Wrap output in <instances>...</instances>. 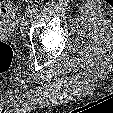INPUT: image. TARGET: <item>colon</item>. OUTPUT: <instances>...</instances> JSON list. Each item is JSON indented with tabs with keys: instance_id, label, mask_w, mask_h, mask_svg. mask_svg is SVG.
Masks as SVG:
<instances>
[{
	"instance_id": "5ec220e1",
	"label": "colon",
	"mask_w": 113,
	"mask_h": 113,
	"mask_svg": "<svg viewBox=\"0 0 113 113\" xmlns=\"http://www.w3.org/2000/svg\"><path fill=\"white\" fill-rule=\"evenodd\" d=\"M14 11L15 7L9 3L0 8V13L3 15H9ZM13 58L14 52L12 47L3 41H0V73H3L10 68Z\"/></svg>"
}]
</instances>
